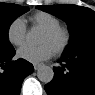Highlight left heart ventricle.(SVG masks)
Listing matches in <instances>:
<instances>
[{
	"label": "left heart ventricle",
	"mask_w": 95,
	"mask_h": 95,
	"mask_svg": "<svg viewBox=\"0 0 95 95\" xmlns=\"http://www.w3.org/2000/svg\"><path fill=\"white\" fill-rule=\"evenodd\" d=\"M61 41H62L61 37L52 39V38L48 37L45 33H43L39 40V43L40 44L46 43L52 48V50H54L61 43Z\"/></svg>",
	"instance_id": "obj_1"
}]
</instances>
